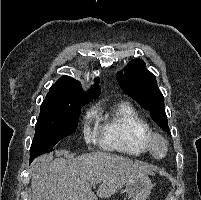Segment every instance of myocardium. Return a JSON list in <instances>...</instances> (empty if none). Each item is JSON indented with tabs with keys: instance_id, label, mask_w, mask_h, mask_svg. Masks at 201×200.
<instances>
[{
	"instance_id": "1",
	"label": "myocardium",
	"mask_w": 201,
	"mask_h": 200,
	"mask_svg": "<svg viewBox=\"0 0 201 200\" xmlns=\"http://www.w3.org/2000/svg\"><path fill=\"white\" fill-rule=\"evenodd\" d=\"M158 142H161L164 146V153L162 155H158L156 153V145ZM148 145H149V151L156 159H162L164 158L169 150V144L167 139L160 133L152 132L148 138Z\"/></svg>"
}]
</instances>
